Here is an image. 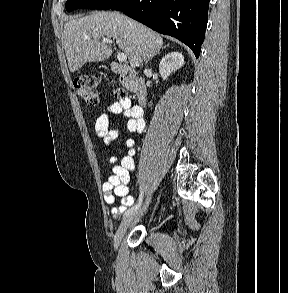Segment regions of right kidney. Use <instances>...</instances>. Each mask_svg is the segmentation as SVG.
<instances>
[{"label":"right kidney","mask_w":288,"mask_h":293,"mask_svg":"<svg viewBox=\"0 0 288 293\" xmlns=\"http://www.w3.org/2000/svg\"><path fill=\"white\" fill-rule=\"evenodd\" d=\"M184 65V57L182 53L170 52L160 61L159 73L166 80L170 74Z\"/></svg>","instance_id":"1"}]
</instances>
